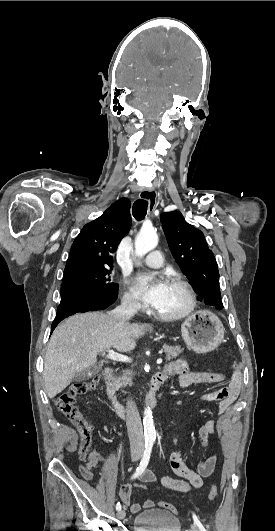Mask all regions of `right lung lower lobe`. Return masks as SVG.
Returning a JSON list of instances; mask_svg holds the SVG:
<instances>
[{"label":"right lung lower lobe","instance_id":"obj_1","mask_svg":"<svg viewBox=\"0 0 275 531\" xmlns=\"http://www.w3.org/2000/svg\"><path fill=\"white\" fill-rule=\"evenodd\" d=\"M115 300L102 301L96 297L91 296L86 292L68 291L61 293V301L57 309L56 317L51 326V332L55 329L58 323L75 313H85L88 311L102 310L113 304Z\"/></svg>","mask_w":275,"mask_h":531}]
</instances>
